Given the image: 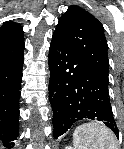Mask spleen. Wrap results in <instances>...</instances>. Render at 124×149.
I'll use <instances>...</instances> for the list:
<instances>
[{
    "label": "spleen",
    "mask_w": 124,
    "mask_h": 149,
    "mask_svg": "<svg viewBox=\"0 0 124 149\" xmlns=\"http://www.w3.org/2000/svg\"><path fill=\"white\" fill-rule=\"evenodd\" d=\"M76 149H117L110 131L95 123H86L76 128L73 134Z\"/></svg>",
    "instance_id": "1"
}]
</instances>
